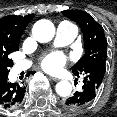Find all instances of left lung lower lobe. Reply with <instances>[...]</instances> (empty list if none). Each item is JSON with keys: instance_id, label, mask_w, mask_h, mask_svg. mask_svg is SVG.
Instances as JSON below:
<instances>
[{"instance_id": "1", "label": "left lung lower lobe", "mask_w": 117, "mask_h": 117, "mask_svg": "<svg viewBox=\"0 0 117 117\" xmlns=\"http://www.w3.org/2000/svg\"><path fill=\"white\" fill-rule=\"evenodd\" d=\"M97 93L98 90L91 82H84L82 91L75 92L73 96L65 98L62 104L71 109L85 107L94 101Z\"/></svg>"}]
</instances>
